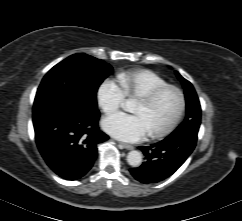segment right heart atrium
Instances as JSON below:
<instances>
[{
    "label": "right heart atrium",
    "instance_id": "right-heart-atrium-1",
    "mask_svg": "<svg viewBox=\"0 0 242 221\" xmlns=\"http://www.w3.org/2000/svg\"><path fill=\"white\" fill-rule=\"evenodd\" d=\"M126 95L121 86L112 79H105L96 91V100L105 114L118 110L124 103Z\"/></svg>",
    "mask_w": 242,
    "mask_h": 221
}]
</instances>
